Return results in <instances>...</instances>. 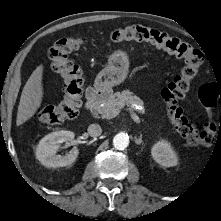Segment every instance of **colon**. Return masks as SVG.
<instances>
[{"instance_id":"obj_1","label":"colon","mask_w":221,"mask_h":221,"mask_svg":"<svg viewBox=\"0 0 221 221\" xmlns=\"http://www.w3.org/2000/svg\"><path fill=\"white\" fill-rule=\"evenodd\" d=\"M114 43L128 41L148 42L167 53L183 59L184 65L178 75L162 90L169 119L177 132L189 145L211 144L215 139L212 124L198 129L185 115L179 102L190 90L191 81L197 76L203 62V55L189 44L169 36L168 34L144 26H131L114 30L110 35ZM86 43L81 36L65 37L56 41L48 51L51 67L63 81V98L60 103L49 106L41 111L40 121L47 125H57L77 116L81 106L83 78L80 67L69 55ZM219 91L214 84H204L199 90V97L210 117L217 104ZM221 103V98H220Z\"/></svg>"}]
</instances>
